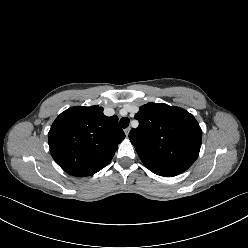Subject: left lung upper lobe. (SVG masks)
<instances>
[{
  "label": "left lung upper lobe",
  "instance_id": "obj_1",
  "mask_svg": "<svg viewBox=\"0 0 248 248\" xmlns=\"http://www.w3.org/2000/svg\"><path fill=\"white\" fill-rule=\"evenodd\" d=\"M139 126L129 139L143 164L153 173L173 177L197 159L201 128L188 111L164 103H148L135 115Z\"/></svg>",
  "mask_w": 248,
  "mask_h": 248
}]
</instances>
